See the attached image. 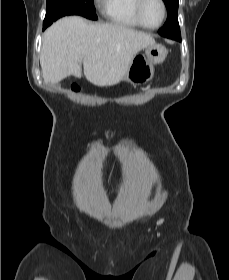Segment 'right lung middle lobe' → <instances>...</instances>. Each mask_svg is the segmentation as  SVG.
Returning <instances> with one entry per match:
<instances>
[{"label": "right lung middle lobe", "instance_id": "right-lung-middle-lobe-1", "mask_svg": "<svg viewBox=\"0 0 229 280\" xmlns=\"http://www.w3.org/2000/svg\"><path fill=\"white\" fill-rule=\"evenodd\" d=\"M74 14L97 20L93 0H47L44 24L49 26L62 16Z\"/></svg>", "mask_w": 229, "mask_h": 280}]
</instances>
